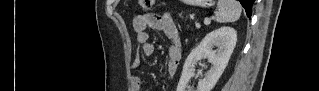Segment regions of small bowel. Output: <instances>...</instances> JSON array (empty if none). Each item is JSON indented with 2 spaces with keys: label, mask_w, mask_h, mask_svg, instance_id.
Returning <instances> with one entry per match:
<instances>
[{
  "label": "small bowel",
  "mask_w": 319,
  "mask_h": 91,
  "mask_svg": "<svg viewBox=\"0 0 319 91\" xmlns=\"http://www.w3.org/2000/svg\"><path fill=\"white\" fill-rule=\"evenodd\" d=\"M134 28L140 51L132 63V68L137 69L140 66L141 55L150 57L154 54V45L149 41V34L146 31L147 29H153L162 31L169 40L166 66L168 74L174 75L182 56V45L180 32L172 17L168 13L161 15L140 13L134 18ZM131 82L134 91L144 90V79L142 77L133 75Z\"/></svg>",
  "instance_id": "c3829d8e"
}]
</instances>
